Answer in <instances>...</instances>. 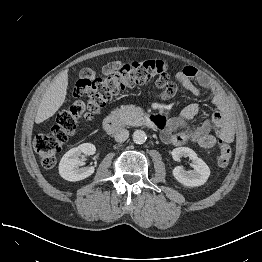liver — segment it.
Returning a JSON list of instances; mask_svg holds the SVG:
<instances>
[{"instance_id": "liver-1", "label": "liver", "mask_w": 262, "mask_h": 262, "mask_svg": "<svg viewBox=\"0 0 262 262\" xmlns=\"http://www.w3.org/2000/svg\"><path fill=\"white\" fill-rule=\"evenodd\" d=\"M68 70L59 73L46 90L35 117V122L40 124L52 117L62 106L67 95Z\"/></svg>"}]
</instances>
